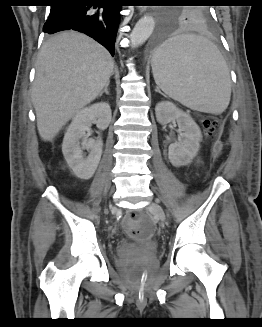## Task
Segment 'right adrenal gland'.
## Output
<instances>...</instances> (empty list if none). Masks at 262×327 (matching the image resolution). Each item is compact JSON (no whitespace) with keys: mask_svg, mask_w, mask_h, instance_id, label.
<instances>
[{"mask_svg":"<svg viewBox=\"0 0 262 327\" xmlns=\"http://www.w3.org/2000/svg\"><path fill=\"white\" fill-rule=\"evenodd\" d=\"M108 86H109V84H107V85L104 87L103 91L100 92L99 97H101L104 93H105L106 95H109Z\"/></svg>","mask_w":262,"mask_h":327,"instance_id":"1","label":"right adrenal gland"}]
</instances>
